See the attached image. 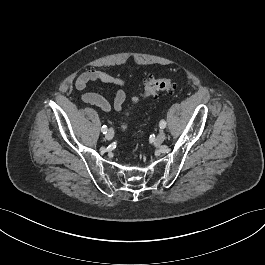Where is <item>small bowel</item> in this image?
Returning a JSON list of instances; mask_svg holds the SVG:
<instances>
[{
	"label": "small bowel",
	"instance_id": "1",
	"mask_svg": "<svg viewBox=\"0 0 265 265\" xmlns=\"http://www.w3.org/2000/svg\"><path fill=\"white\" fill-rule=\"evenodd\" d=\"M90 82H102L117 86L119 89L115 93V97L112 103H110L103 96L94 93L86 92L82 95V101L96 106L105 112H109L112 109L115 111H121L126 101V93L124 87L126 81L123 78L114 76L108 72L102 70H88L78 76L75 82V86L78 90H84Z\"/></svg>",
	"mask_w": 265,
	"mask_h": 265
}]
</instances>
